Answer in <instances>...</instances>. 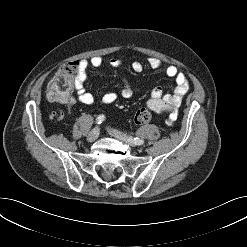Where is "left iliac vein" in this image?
<instances>
[{"label": "left iliac vein", "instance_id": "obj_1", "mask_svg": "<svg viewBox=\"0 0 247 247\" xmlns=\"http://www.w3.org/2000/svg\"><path fill=\"white\" fill-rule=\"evenodd\" d=\"M108 132H109L110 135L116 137L117 139H119L121 141H124V142L128 143L131 146H135L136 145L130 138H128L127 136H125L123 133H121L118 130L109 129Z\"/></svg>", "mask_w": 247, "mask_h": 247}]
</instances>
